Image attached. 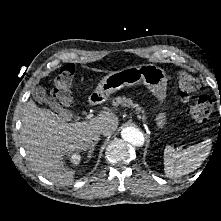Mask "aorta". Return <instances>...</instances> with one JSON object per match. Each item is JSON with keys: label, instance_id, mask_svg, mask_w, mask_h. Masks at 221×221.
I'll list each match as a JSON object with an SVG mask.
<instances>
[{"label": "aorta", "instance_id": "1", "mask_svg": "<svg viewBox=\"0 0 221 221\" xmlns=\"http://www.w3.org/2000/svg\"><path fill=\"white\" fill-rule=\"evenodd\" d=\"M122 138L134 146H141L144 144V136L141 131L135 127H126L121 131Z\"/></svg>", "mask_w": 221, "mask_h": 221}]
</instances>
